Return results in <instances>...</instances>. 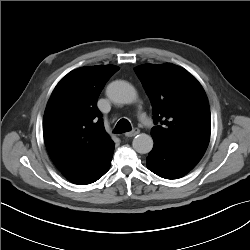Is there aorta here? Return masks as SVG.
Returning a JSON list of instances; mask_svg holds the SVG:
<instances>
[{
    "mask_svg": "<svg viewBox=\"0 0 250 250\" xmlns=\"http://www.w3.org/2000/svg\"><path fill=\"white\" fill-rule=\"evenodd\" d=\"M108 98L114 103L131 104L136 100L137 94L134 87L126 81L116 80L107 86ZM133 148L140 154H147L153 148V139L151 136L141 133L134 137Z\"/></svg>",
    "mask_w": 250,
    "mask_h": 250,
    "instance_id": "762f6f07",
    "label": "aorta"
}]
</instances>
